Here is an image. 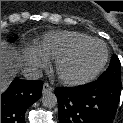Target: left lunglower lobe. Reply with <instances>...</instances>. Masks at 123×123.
Here are the masks:
<instances>
[{
    "label": "left lung lower lobe",
    "mask_w": 123,
    "mask_h": 123,
    "mask_svg": "<svg viewBox=\"0 0 123 123\" xmlns=\"http://www.w3.org/2000/svg\"><path fill=\"white\" fill-rule=\"evenodd\" d=\"M121 88L120 83L99 79L77 88H57L59 123H112Z\"/></svg>",
    "instance_id": "0a47b994"
}]
</instances>
